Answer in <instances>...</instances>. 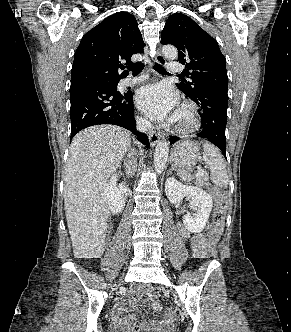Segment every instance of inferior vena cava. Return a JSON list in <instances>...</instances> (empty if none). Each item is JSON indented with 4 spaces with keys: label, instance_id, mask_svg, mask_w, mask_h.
I'll use <instances>...</instances> for the list:
<instances>
[{
    "label": "inferior vena cava",
    "instance_id": "obj_1",
    "mask_svg": "<svg viewBox=\"0 0 291 332\" xmlns=\"http://www.w3.org/2000/svg\"><path fill=\"white\" fill-rule=\"evenodd\" d=\"M152 127L151 123L145 119H142V118H138L137 119V130L140 131V132H147L148 130H150ZM129 166H128V171H127V174L129 176L132 175V172H133V161H130L129 162Z\"/></svg>",
    "mask_w": 291,
    "mask_h": 332
}]
</instances>
